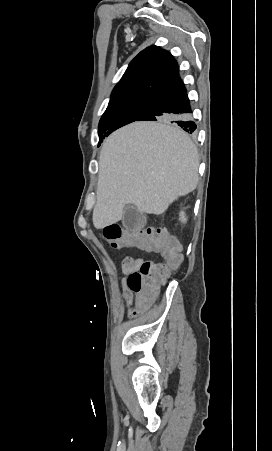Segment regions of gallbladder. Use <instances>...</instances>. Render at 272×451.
<instances>
[{"label": "gallbladder", "instance_id": "bac80fb5", "mask_svg": "<svg viewBox=\"0 0 272 451\" xmlns=\"http://www.w3.org/2000/svg\"><path fill=\"white\" fill-rule=\"evenodd\" d=\"M146 222V216L143 212H138L135 206H125L122 224L126 227V229H137V227H144Z\"/></svg>", "mask_w": 272, "mask_h": 451}]
</instances>
